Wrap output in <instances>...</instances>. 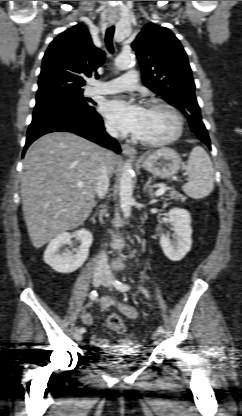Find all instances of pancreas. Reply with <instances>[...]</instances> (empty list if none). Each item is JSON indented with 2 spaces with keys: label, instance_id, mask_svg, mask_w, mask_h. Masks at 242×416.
<instances>
[{
  "label": "pancreas",
  "instance_id": "1",
  "mask_svg": "<svg viewBox=\"0 0 242 416\" xmlns=\"http://www.w3.org/2000/svg\"><path fill=\"white\" fill-rule=\"evenodd\" d=\"M169 199L175 200V201H178V200L185 201L186 197L176 191H172L169 194Z\"/></svg>",
  "mask_w": 242,
  "mask_h": 416
}]
</instances>
